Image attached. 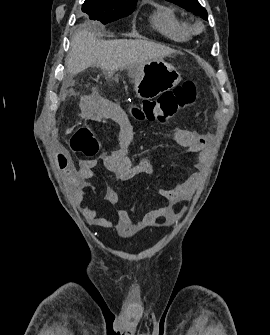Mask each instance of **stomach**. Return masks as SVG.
<instances>
[{
	"label": "stomach",
	"instance_id": "obj_1",
	"mask_svg": "<svg viewBox=\"0 0 270 335\" xmlns=\"http://www.w3.org/2000/svg\"><path fill=\"white\" fill-rule=\"evenodd\" d=\"M132 72L135 74V94L141 100H153L181 82L179 72L162 58L148 62L141 68L134 67Z\"/></svg>",
	"mask_w": 270,
	"mask_h": 335
}]
</instances>
